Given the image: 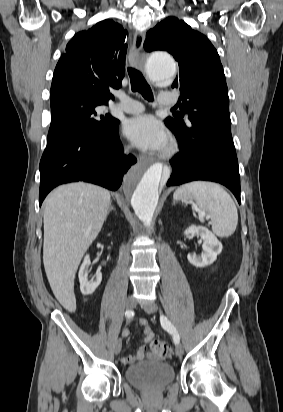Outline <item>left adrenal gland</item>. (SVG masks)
<instances>
[{"label":"left adrenal gland","instance_id":"a2214340","mask_svg":"<svg viewBox=\"0 0 283 412\" xmlns=\"http://www.w3.org/2000/svg\"><path fill=\"white\" fill-rule=\"evenodd\" d=\"M175 202H176V201H175V199H174V200H173V205H175Z\"/></svg>","mask_w":283,"mask_h":412}]
</instances>
